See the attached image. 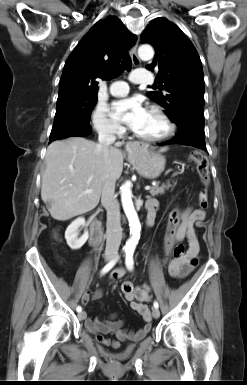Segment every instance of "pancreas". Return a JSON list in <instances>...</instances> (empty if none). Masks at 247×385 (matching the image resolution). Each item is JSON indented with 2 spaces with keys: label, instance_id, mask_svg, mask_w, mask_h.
<instances>
[{
  "label": "pancreas",
  "instance_id": "pancreas-1",
  "mask_svg": "<svg viewBox=\"0 0 247 385\" xmlns=\"http://www.w3.org/2000/svg\"><path fill=\"white\" fill-rule=\"evenodd\" d=\"M170 187H172V185L169 182H167L166 184H162L161 186H159V184L157 183L156 185L152 186L149 193L151 194V196H157L159 194L161 195L164 194L165 190H168Z\"/></svg>",
  "mask_w": 247,
  "mask_h": 385
}]
</instances>
